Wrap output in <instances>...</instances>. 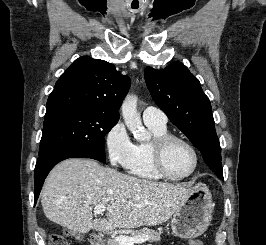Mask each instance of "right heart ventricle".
<instances>
[{"label": "right heart ventricle", "instance_id": "1", "mask_svg": "<svg viewBox=\"0 0 266 245\" xmlns=\"http://www.w3.org/2000/svg\"><path fill=\"white\" fill-rule=\"evenodd\" d=\"M146 125L152 132V140L155 137L169 133L167 124L146 123ZM152 140L139 142L135 145V153L129 168V173L143 182L158 183L162 181L163 178L157 173L152 162L150 151Z\"/></svg>", "mask_w": 266, "mask_h": 245}]
</instances>
